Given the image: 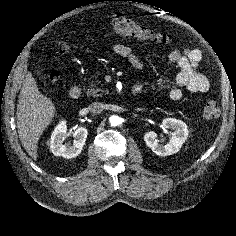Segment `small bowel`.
<instances>
[{
	"instance_id": "1",
	"label": "small bowel",
	"mask_w": 236,
	"mask_h": 236,
	"mask_svg": "<svg viewBox=\"0 0 236 236\" xmlns=\"http://www.w3.org/2000/svg\"><path fill=\"white\" fill-rule=\"evenodd\" d=\"M112 51L128 60L136 69H141L144 65L143 61L133 52V50L122 43L112 45ZM170 62L178 68L176 75V83L179 87L172 88L167 96L171 101H178L183 96L181 88L186 89L190 93H206L210 88L209 80L205 75L198 71V66L202 60V52L190 46L182 49H176L169 55ZM137 94H143L144 88L141 84H137L133 88Z\"/></svg>"
}]
</instances>
